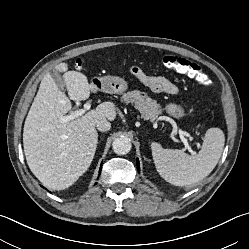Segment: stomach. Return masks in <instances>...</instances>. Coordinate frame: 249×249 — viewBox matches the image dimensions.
Masks as SVG:
<instances>
[{
  "label": "stomach",
  "instance_id": "0dacf381",
  "mask_svg": "<svg viewBox=\"0 0 249 249\" xmlns=\"http://www.w3.org/2000/svg\"><path fill=\"white\" fill-rule=\"evenodd\" d=\"M98 80V87L109 94H122L128 89V83L117 76H104ZM97 86V85H96ZM166 111L168 114L175 118H182L184 116V110L180 105L170 103L166 105Z\"/></svg>",
  "mask_w": 249,
  "mask_h": 249
}]
</instances>
